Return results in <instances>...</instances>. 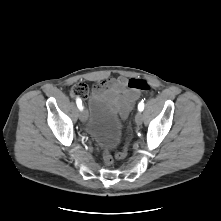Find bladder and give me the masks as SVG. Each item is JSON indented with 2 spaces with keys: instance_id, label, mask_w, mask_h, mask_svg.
<instances>
[{
  "instance_id": "1",
  "label": "bladder",
  "mask_w": 221,
  "mask_h": 221,
  "mask_svg": "<svg viewBox=\"0 0 221 221\" xmlns=\"http://www.w3.org/2000/svg\"><path fill=\"white\" fill-rule=\"evenodd\" d=\"M88 133L105 149L118 146L122 139L123 119L107 98L94 96L89 103Z\"/></svg>"
}]
</instances>
